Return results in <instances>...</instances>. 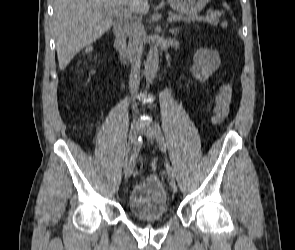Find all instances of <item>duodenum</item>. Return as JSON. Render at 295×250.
I'll list each match as a JSON object with an SVG mask.
<instances>
[{
  "mask_svg": "<svg viewBox=\"0 0 295 250\" xmlns=\"http://www.w3.org/2000/svg\"><path fill=\"white\" fill-rule=\"evenodd\" d=\"M128 28V22L126 20H118L113 26L115 35L114 47L120 53L126 51V32Z\"/></svg>",
  "mask_w": 295,
  "mask_h": 250,
  "instance_id": "410a0bca",
  "label": "duodenum"
}]
</instances>
